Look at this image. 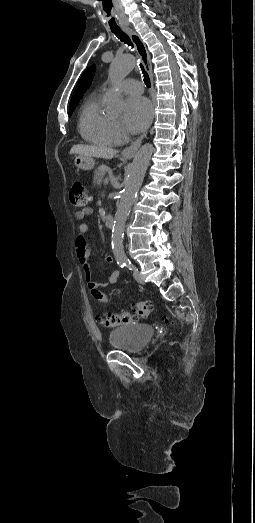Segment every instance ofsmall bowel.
Returning a JSON list of instances; mask_svg holds the SVG:
<instances>
[{"label": "small bowel", "instance_id": "small-bowel-1", "mask_svg": "<svg viewBox=\"0 0 255 523\" xmlns=\"http://www.w3.org/2000/svg\"><path fill=\"white\" fill-rule=\"evenodd\" d=\"M93 213V210L91 208H85L83 210L77 211L75 216L78 220H83L86 216H89ZM89 230V226L87 223H81L78 227V236L75 243V253L76 256L82 265V267L85 270L86 274V281L90 288H103L107 285H113L117 282L120 271L119 270H113L108 278L107 284H98L94 281L91 271H90V264H89V257H90V250L87 244L86 235ZM105 261L112 263L113 258L111 256H106L104 258Z\"/></svg>", "mask_w": 255, "mask_h": 523}]
</instances>
